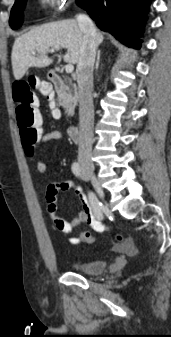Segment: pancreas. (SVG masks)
<instances>
[{
  "mask_svg": "<svg viewBox=\"0 0 171 337\" xmlns=\"http://www.w3.org/2000/svg\"><path fill=\"white\" fill-rule=\"evenodd\" d=\"M57 96V101L64 107L66 114L73 116L77 104V93L74 87L64 86L63 89L57 91Z\"/></svg>",
  "mask_w": 171,
  "mask_h": 337,
  "instance_id": "pancreas-1",
  "label": "pancreas"
}]
</instances>
